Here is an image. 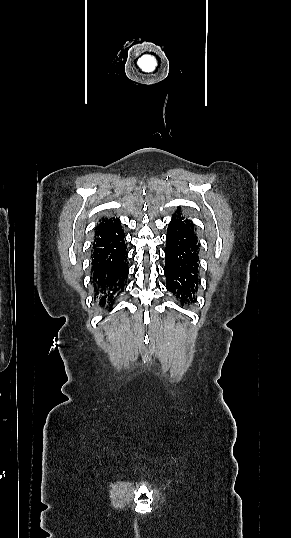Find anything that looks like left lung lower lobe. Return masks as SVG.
Returning <instances> with one entry per match:
<instances>
[{"label":"left lung lower lobe","mask_w":291,"mask_h":538,"mask_svg":"<svg viewBox=\"0 0 291 538\" xmlns=\"http://www.w3.org/2000/svg\"><path fill=\"white\" fill-rule=\"evenodd\" d=\"M199 248L192 221L173 215L167 230L164 275L166 288L182 306L195 302V292L200 284Z\"/></svg>","instance_id":"1"}]
</instances>
